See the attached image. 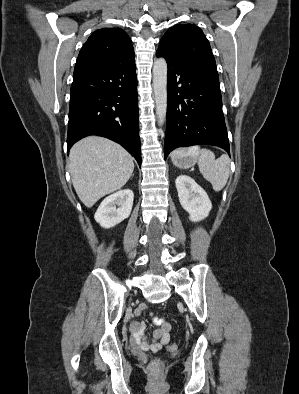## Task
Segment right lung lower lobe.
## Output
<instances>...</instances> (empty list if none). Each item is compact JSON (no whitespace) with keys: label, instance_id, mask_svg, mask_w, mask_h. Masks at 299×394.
<instances>
[{"label":"right lung lower lobe","instance_id":"obj_1","mask_svg":"<svg viewBox=\"0 0 299 394\" xmlns=\"http://www.w3.org/2000/svg\"><path fill=\"white\" fill-rule=\"evenodd\" d=\"M135 61L76 73L70 91L68 150L100 135L121 144L141 166Z\"/></svg>","mask_w":299,"mask_h":394}]
</instances>
